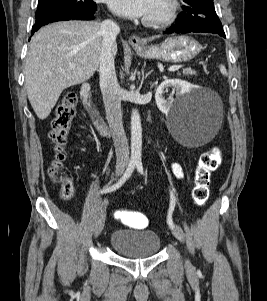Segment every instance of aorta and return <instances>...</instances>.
<instances>
[{"instance_id":"762f6f07","label":"aorta","mask_w":267,"mask_h":301,"mask_svg":"<svg viewBox=\"0 0 267 301\" xmlns=\"http://www.w3.org/2000/svg\"><path fill=\"white\" fill-rule=\"evenodd\" d=\"M142 151V127L138 110L131 114V159L140 160Z\"/></svg>"}]
</instances>
